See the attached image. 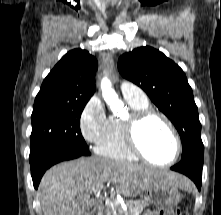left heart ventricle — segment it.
<instances>
[{"label": "left heart ventricle", "mask_w": 221, "mask_h": 215, "mask_svg": "<svg viewBox=\"0 0 221 215\" xmlns=\"http://www.w3.org/2000/svg\"><path fill=\"white\" fill-rule=\"evenodd\" d=\"M139 144L144 153L153 161H169L175 151V143L167 126L158 118L148 119L138 135Z\"/></svg>", "instance_id": "obj_1"}]
</instances>
